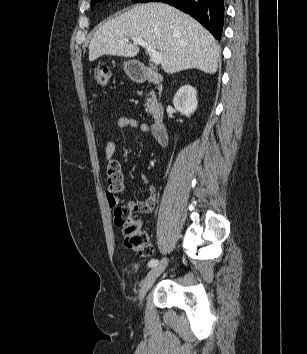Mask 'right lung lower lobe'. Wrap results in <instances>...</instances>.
I'll list each match as a JSON object with an SVG mask.
<instances>
[{
  "mask_svg": "<svg viewBox=\"0 0 307 354\" xmlns=\"http://www.w3.org/2000/svg\"><path fill=\"white\" fill-rule=\"evenodd\" d=\"M194 17L220 40L224 23V0H157Z\"/></svg>",
  "mask_w": 307,
  "mask_h": 354,
  "instance_id": "1",
  "label": "right lung lower lobe"
}]
</instances>
